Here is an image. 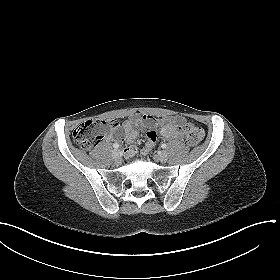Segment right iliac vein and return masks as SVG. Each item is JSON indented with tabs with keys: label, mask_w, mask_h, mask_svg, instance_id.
I'll return each mask as SVG.
<instances>
[{
	"label": "right iliac vein",
	"mask_w": 280,
	"mask_h": 280,
	"mask_svg": "<svg viewBox=\"0 0 280 280\" xmlns=\"http://www.w3.org/2000/svg\"><path fill=\"white\" fill-rule=\"evenodd\" d=\"M112 156H113V159L115 160V162H117V163L121 162V154H120L119 150H117V149L113 150Z\"/></svg>",
	"instance_id": "right-iliac-vein-1"
}]
</instances>
